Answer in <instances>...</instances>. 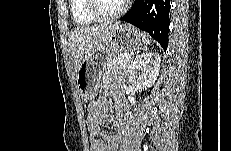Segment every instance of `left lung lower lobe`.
Segmentation results:
<instances>
[{
  "label": "left lung lower lobe",
  "instance_id": "1",
  "mask_svg": "<svg viewBox=\"0 0 231 151\" xmlns=\"http://www.w3.org/2000/svg\"><path fill=\"white\" fill-rule=\"evenodd\" d=\"M169 0H135L120 20L148 32L164 50L168 47Z\"/></svg>",
  "mask_w": 231,
  "mask_h": 151
}]
</instances>
